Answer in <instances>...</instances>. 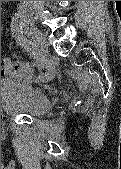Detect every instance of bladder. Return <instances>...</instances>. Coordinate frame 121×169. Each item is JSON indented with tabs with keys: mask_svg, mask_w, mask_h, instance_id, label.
<instances>
[{
	"mask_svg": "<svg viewBox=\"0 0 121 169\" xmlns=\"http://www.w3.org/2000/svg\"><path fill=\"white\" fill-rule=\"evenodd\" d=\"M51 106L49 97L41 90L16 79L1 80V107L5 113L41 116Z\"/></svg>",
	"mask_w": 121,
	"mask_h": 169,
	"instance_id": "31cf9c89",
	"label": "bladder"
}]
</instances>
